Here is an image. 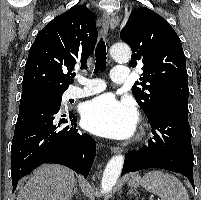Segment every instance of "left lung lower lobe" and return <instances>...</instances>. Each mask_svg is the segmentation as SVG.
<instances>
[{
  "label": "left lung lower lobe",
  "mask_w": 201,
  "mask_h": 200,
  "mask_svg": "<svg viewBox=\"0 0 201 200\" xmlns=\"http://www.w3.org/2000/svg\"><path fill=\"white\" fill-rule=\"evenodd\" d=\"M146 115L153 128V138L148 145L125 156L122 175L147 168L167 169L186 176L195 188L188 102L165 101Z\"/></svg>",
  "instance_id": "0a47b994"
}]
</instances>
